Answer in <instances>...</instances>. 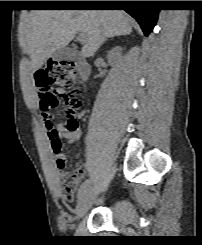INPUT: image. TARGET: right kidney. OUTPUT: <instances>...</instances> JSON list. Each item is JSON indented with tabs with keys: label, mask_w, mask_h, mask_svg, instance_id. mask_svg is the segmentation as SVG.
Here are the masks:
<instances>
[{
	"label": "right kidney",
	"mask_w": 202,
	"mask_h": 245,
	"mask_svg": "<svg viewBox=\"0 0 202 245\" xmlns=\"http://www.w3.org/2000/svg\"><path fill=\"white\" fill-rule=\"evenodd\" d=\"M122 48L120 46H117L110 50L107 55L108 62L111 64H115L120 56H121Z\"/></svg>",
	"instance_id": "1"
}]
</instances>
